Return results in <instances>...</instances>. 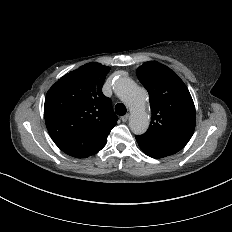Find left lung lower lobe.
Segmentation results:
<instances>
[{"label":"left lung lower lobe","instance_id":"left-lung-lower-lobe-1","mask_svg":"<svg viewBox=\"0 0 232 232\" xmlns=\"http://www.w3.org/2000/svg\"><path fill=\"white\" fill-rule=\"evenodd\" d=\"M135 138L142 151L152 158H163L179 151L171 146L146 139L141 136H135Z\"/></svg>","mask_w":232,"mask_h":232}]
</instances>
